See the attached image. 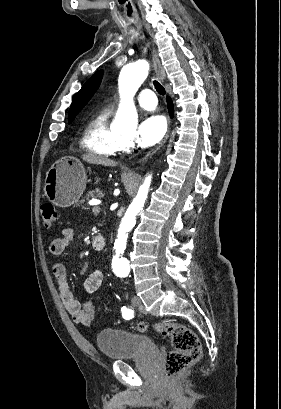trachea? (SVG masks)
<instances>
[{"label":"trachea","instance_id":"3493384b","mask_svg":"<svg viewBox=\"0 0 281 409\" xmlns=\"http://www.w3.org/2000/svg\"><path fill=\"white\" fill-rule=\"evenodd\" d=\"M154 87L156 89V91L160 94V95H165V89L164 87L157 81L154 80L153 81Z\"/></svg>","mask_w":281,"mask_h":409}]
</instances>
